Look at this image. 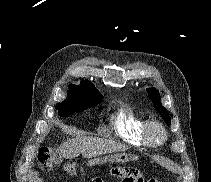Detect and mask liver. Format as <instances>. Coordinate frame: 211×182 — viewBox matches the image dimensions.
Masks as SVG:
<instances>
[{"label":"liver","instance_id":"liver-1","mask_svg":"<svg viewBox=\"0 0 211 182\" xmlns=\"http://www.w3.org/2000/svg\"><path fill=\"white\" fill-rule=\"evenodd\" d=\"M128 147L112 140L79 136L63 142L57 151L65 158L72 159L82 154L85 158H96L106 153L125 151Z\"/></svg>","mask_w":211,"mask_h":182}]
</instances>
